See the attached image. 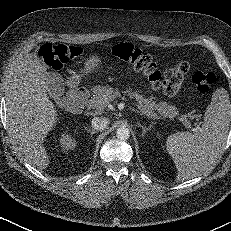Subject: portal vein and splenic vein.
Masks as SVG:
<instances>
[{
  "mask_svg": "<svg viewBox=\"0 0 231 231\" xmlns=\"http://www.w3.org/2000/svg\"><path fill=\"white\" fill-rule=\"evenodd\" d=\"M91 108L96 110H101V107H99L98 105H93ZM180 120L184 123L186 127L191 128L192 131H197L199 129L198 127L192 128L190 123L184 117H181Z\"/></svg>",
  "mask_w": 231,
  "mask_h": 231,
  "instance_id": "18ae733b",
  "label": "portal vein and splenic vein"
}]
</instances>
